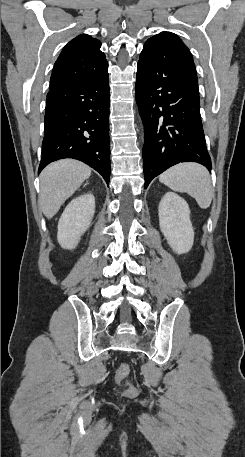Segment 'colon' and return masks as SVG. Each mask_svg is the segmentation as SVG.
<instances>
[{"instance_id":"5ec220e1","label":"colon","mask_w":245,"mask_h":457,"mask_svg":"<svg viewBox=\"0 0 245 457\" xmlns=\"http://www.w3.org/2000/svg\"><path fill=\"white\" fill-rule=\"evenodd\" d=\"M129 374V366L126 363H121L116 371V381L119 384L125 386V394L128 396L136 393V388L130 383L126 382V378Z\"/></svg>"}]
</instances>
